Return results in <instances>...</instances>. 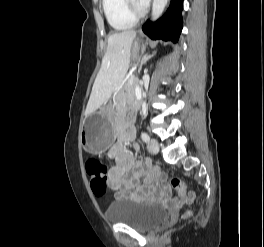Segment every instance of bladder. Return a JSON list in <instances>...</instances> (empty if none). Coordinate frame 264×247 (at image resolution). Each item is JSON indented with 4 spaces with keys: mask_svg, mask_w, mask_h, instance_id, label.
<instances>
[{
    "mask_svg": "<svg viewBox=\"0 0 264 247\" xmlns=\"http://www.w3.org/2000/svg\"><path fill=\"white\" fill-rule=\"evenodd\" d=\"M106 218L110 223H121L137 230L150 231L165 223L168 213L157 204L123 198L110 203Z\"/></svg>",
    "mask_w": 264,
    "mask_h": 247,
    "instance_id": "31cf9c89",
    "label": "bladder"
}]
</instances>
